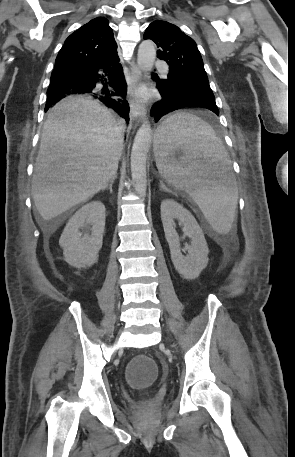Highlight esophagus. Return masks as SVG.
Wrapping results in <instances>:
<instances>
[{"label": "esophagus", "mask_w": 295, "mask_h": 457, "mask_svg": "<svg viewBox=\"0 0 295 457\" xmlns=\"http://www.w3.org/2000/svg\"><path fill=\"white\" fill-rule=\"evenodd\" d=\"M142 78L141 71L139 67L134 64L131 67V87H130V95H131V100H130V112L132 116L137 120V121H143L146 118V108L145 106L140 103L138 100H136L135 94H136V89L138 87V84L140 83Z\"/></svg>", "instance_id": "1"}]
</instances>
